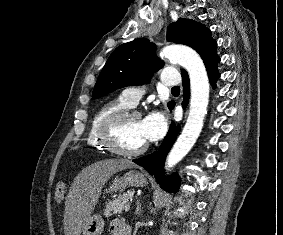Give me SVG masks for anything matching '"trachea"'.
I'll return each mask as SVG.
<instances>
[{
  "label": "trachea",
  "instance_id": "obj_1",
  "mask_svg": "<svg viewBox=\"0 0 283 235\" xmlns=\"http://www.w3.org/2000/svg\"><path fill=\"white\" fill-rule=\"evenodd\" d=\"M172 91H174V92H180V88H179L178 86L173 87V88H172Z\"/></svg>",
  "mask_w": 283,
  "mask_h": 235
}]
</instances>
